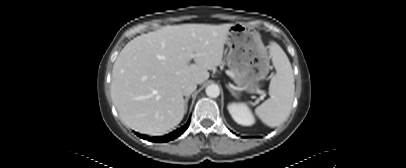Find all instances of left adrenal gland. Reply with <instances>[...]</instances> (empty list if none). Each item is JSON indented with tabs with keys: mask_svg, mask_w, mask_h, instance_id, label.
Instances as JSON below:
<instances>
[{
	"mask_svg": "<svg viewBox=\"0 0 406 168\" xmlns=\"http://www.w3.org/2000/svg\"><path fill=\"white\" fill-rule=\"evenodd\" d=\"M228 90L230 91V93L232 94V95H236V93L232 90V89H230L229 87H228Z\"/></svg>",
	"mask_w": 406,
	"mask_h": 168,
	"instance_id": "1",
	"label": "left adrenal gland"
}]
</instances>
